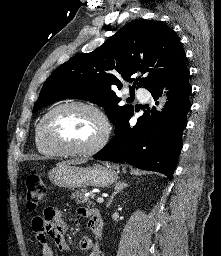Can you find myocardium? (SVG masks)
<instances>
[{"mask_svg":"<svg viewBox=\"0 0 221 256\" xmlns=\"http://www.w3.org/2000/svg\"><path fill=\"white\" fill-rule=\"evenodd\" d=\"M69 107H79L94 113L100 120L102 125V133L100 137L90 146L83 148H72L67 147L57 142L52 141L47 135V123L49 119L59 110ZM111 127L109 120L104 113V111L98 106L85 102V101H69L56 105L50 109L40 120L39 122V138L41 142L48 147L49 149L55 151L57 154L67 155V156H86L92 155L100 151L108 142L110 137Z\"/></svg>","mask_w":221,"mask_h":256,"instance_id":"myocardium-1","label":"myocardium"}]
</instances>
